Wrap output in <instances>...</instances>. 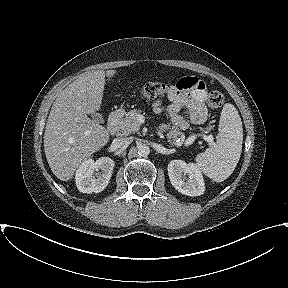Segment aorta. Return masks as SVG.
<instances>
[{"label": "aorta", "instance_id": "762f6f07", "mask_svg": "<svg viewBox=\"0 0 288 288\" xmlns=\"http://www.w3.org/2000/svg\"><path fill=\"white\" fill-rule=\"evenodd\" d=\"M150 153V148L149 146L147 145H140L138 147V154L141 156V157H146L148 156Z\"/></svg>", "mask_w": 288, "mask_h": 288}]
</instances>
